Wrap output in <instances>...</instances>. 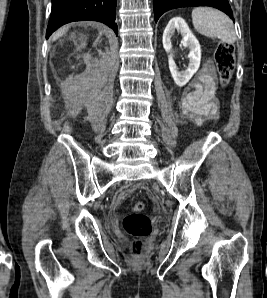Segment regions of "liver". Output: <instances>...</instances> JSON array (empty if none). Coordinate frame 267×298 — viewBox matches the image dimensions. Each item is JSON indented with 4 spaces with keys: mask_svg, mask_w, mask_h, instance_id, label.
Masks as SVG:
<instances>
[{
    "mask_svg": "<svg viewBox=\"0 0 267 298\" xmlns=\"http://www.w3.org/2000/svg\"><path fill=\"white\" fill-rule=\"evenodd\" d=\"M68 30V27H64L62 29H60L59 31H57L53 37V40L58 39L59 37H61L63 34L66 33V31Z\"/></svg>",
    "mask_w": 267,
    "mask_h": 298,
    "instance_id": "6515ba94",
    "label": "liver"
}]
</instances>
